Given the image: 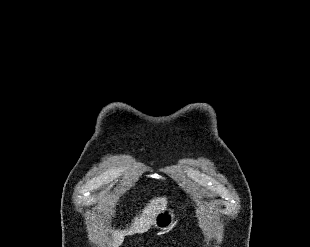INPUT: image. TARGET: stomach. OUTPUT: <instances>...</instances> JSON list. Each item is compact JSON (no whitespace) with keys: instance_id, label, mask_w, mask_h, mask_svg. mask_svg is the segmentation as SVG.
<instances>
[{"instance_id":"stomach-1","label":"stomach","mask_w":310,"mask_h":247,"mask_svg":"<svg viewBox=\"0 0 310 247\" xmlns=\"http://www.w3.org/2000/svg\"><path fill=\"white\" fill-rule=\"evenodd\" d=\"M177 221L175 210L166 205L157 213L153 226L162 233H168L175 228Z\"/></svg>"}]
</instances>
